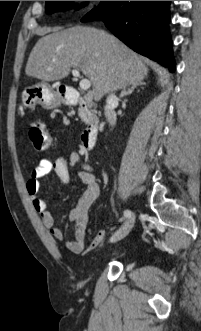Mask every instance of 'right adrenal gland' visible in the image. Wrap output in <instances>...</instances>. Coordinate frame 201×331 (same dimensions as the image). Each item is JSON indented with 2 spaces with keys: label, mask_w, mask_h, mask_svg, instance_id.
<instances>
[{
  "label": "right adrenal gland",
  "mask_w": 201,
  "mask_h": 331,
  "mask_svg": "<svg viewBox=\"0 0 201 331\" xmlns=\"http://www.w3.org/2000/svg\"><path fill=\"white\" fill-rule=\"evenodd\" d=\"M139 85H145V82H138L136 84H132V85H128V86H124L121 93H120V96L119 98H123V97H126L130 94H132V92L134 91V89L139 86Z\"/></svg>",
  "instance_id": "right-adrenal-gland-1"
}]
</instances>
